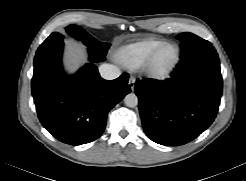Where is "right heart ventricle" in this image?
<instances>
[{
    "label": "right heart ventricle",
    "instance_id": "obj_1",
    "mask_svg": "<svg viewBox=\"0 0 246 181\" xmlns=\"http://www.w3.org/2000/svg\"><path fill=\"white\" fill-rule=\"evenodd\" d=\"M163 44L164 41L152 37L134 41L118 49L116 58L127 67H138Z\"/></svg>",
    "mask_w": 246,
    "mask_h": 181
}]
</instances>
